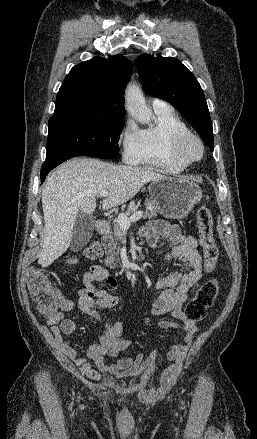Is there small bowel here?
<instances>
[{"instance_id": "obj_1", "label": "small bowel", "mask_w": 257, "mask_h": 439, "mask_svg": "<svg viewBox=\"0 0 257 439\" xmlns=\"http://www.w3.org/2000/svg\"><path fill=\"white\" fill-rule=\"evenodd\" d=\"M140 235L152 248L163 252L164 262L177 258L186 268L191 269L188 273H171L162 276L155 284L160 294L152 304L151 314L156 316L171 314L174 318L184 322L182 341L173 345L166 354V358L171 362L163 372V377L167 380L173 376L182 363L197 331L195 323L184 321L182 305L188 298L189 290L202 277V257L197 250V238L182 233L177 225L166 221L156 220L148 223L140 230ZM161 239L165 241L164 245H160ZM82 282L83 289L77 301L67 299L59 291H55L58 312L48 318V324L52 326L62 351L91 380H100L104 374L116 378H131L139 373L151 374L157 366L158 351L154 350L147 358H144L142 352L134 355L125 354L131 343L120 338L123 325L118 320L106 321L102 324L100 341L84 347L83 355L65 338L66 335H71L76 331L75 322L65 318V313L78 308L101 323L95 310L112 309L119 303L117 296L96 286L97 283L102 282L111 288L116 287L115 279L105 268L99 265L93 266L84 274ZM159 326L168 329L178 328L180 325L177 322L161 320ZM106 356L113 357L116 361L108 364L105 360ZM89 360L93 361L95 367Z\"/></svg>"}]
</instances>
